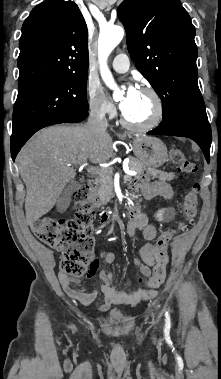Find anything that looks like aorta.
Wrapping results in <instances>:
<instances>
[{
    "mask_svg": "<svg viewBox=\"0 0 221 379\" xmlns=\"http://www.w3.org/2000/svg\"><path fill=\"white\" fill-rule=\"evenodd\" d=\"M124 36V30L120 26H106L100 30L98 40L99 61L101 67V76L105 84L114 90V98L118 97L119 91L110 71L107 68L106 61L109 54L121 42Z\"/></svg>",
    "mask_w": 221,
    "mask_h": 379,
    "instance_id": "1",
    "label": "aorta"
}]
</instances>
